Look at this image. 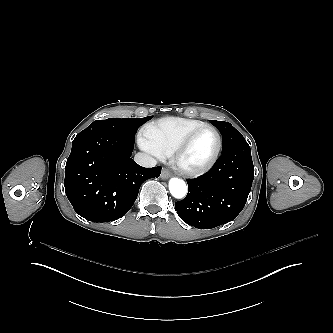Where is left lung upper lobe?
Instances as JSON below:
<instances>
[{
  "instance_id": "left-lung-upper-lobe-1",
  "label": "left lung upper lobe",
  "mask_w": 333,
  "mask_h": 333,
  "mask_svg": "<svg viewBox=\"0 0 333 333\" xmlns=\"http://www.w3.org/2000/svg\"><path fill=\"white\" fill-rule=\"evenodd\" d=\"M211 122L215 127L219 129L222 135V152L230 149L235 145L246 143V140L241 135V133L237 131L229 122L215 120Z\"/></svg>"
}]
</instances>
